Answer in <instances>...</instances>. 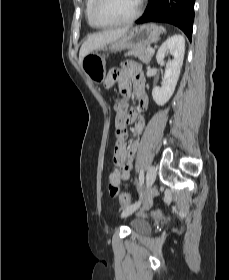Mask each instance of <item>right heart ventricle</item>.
<instances>
[{
    "instance_id": "1",
    "label": "right heart ventricle",
    "mask_w": 229,
    "mask_h": 280,
    "mask_svg": "<svg viewBox=\"0 0 229 280\" xmlns=\"http://www.w3.org/2000/svg\"><path fill=\"white\" fill-rule=\"evenodd\" d=\"M95 0H86L85 3V16H86V21L88 23V25L92 28H98L97 26L94 25L92 18H91V12H92V8L94 5Z\"/></svg>"
}]
</instances>
